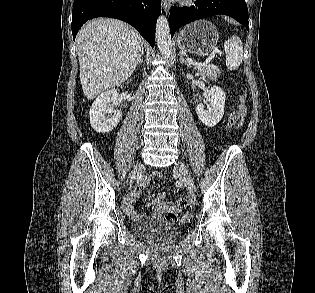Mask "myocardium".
Returning a JSON list of instances; mask_svg holds the SVG:
<instances>
[{
    "label": "myocardium",
    "mask_w": 315,
    "mask_h": 293,
    "mask_svg": "<svg viewBox=\"0 0 315 293\" xmlns=\"http://www.w3.org/2000/svg\"><path fill=\"white\" fill-rule=\"evenodd\" d=\"M195 0H183V3L188 5L191 4L192 2H194Z\"/></svg>",
    "instance_id": "myocardium-1"
}]
</instances>
